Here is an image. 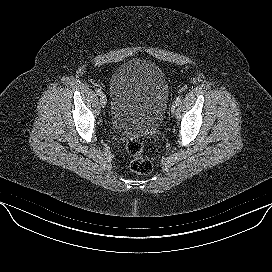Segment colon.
<instances>
[{
  "mask_svg": "<svg viewBox=\"0 0 272 272\" xmlns=\"http://www.w3.org/2000/svg\"><path fill=\"white\" fill-rule=\"evenodd\" d=\"M126 150L131 157L130 169L139 175L149 174L153 169L152 162L143 155L144 144L139 139H131L127 142Z\"/></svg>",
  "mask_w": 272,
  "mask_h": 272,
  "instance_id": "colon-1",
  "label": "colon"
}]
</instances>
